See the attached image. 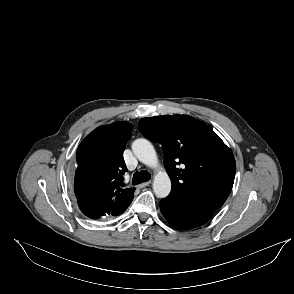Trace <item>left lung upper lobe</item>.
<instances>
[{
  "mask_svg": "<svg viewBox=\"0 0 294 294\" xmlns=\"http://www.w3.org/2000/svg\"><path fill=\"white\" fill-rule=\"evenodd\" d=\"M141 133L162 145L172 181L169 196L215 211L231 192L236 163L212 127L187 115L142 118Z\"/></svg>",
  "mask_w": 294,
  "mask_h": 294,
  "instance_id": "1",
  "label": "left lung upper lobe"
}]
</instances>
